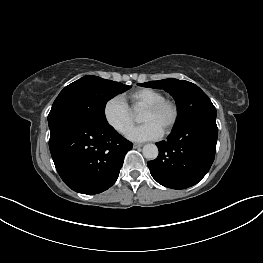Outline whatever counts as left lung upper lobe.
Wrapping results in <instances>:
<instances>
[{"mask_svg": "<svg viewBox=\"0 0 263 263\" xmlns=\"http://www.w3.org/2000/svg\"><path fill=\"white\" fill-rule=\"evenodd\" d=\"M139 85L164 89L173 96L178 107V117L175 128L199 119L216 118V109L208 96L191 82L165 79L150 81Z\"/></svg>", "mask_w": 263, "mask_h": 263, "instance_id": "1", "label": "left lung upper lobe"}]
</instances>
